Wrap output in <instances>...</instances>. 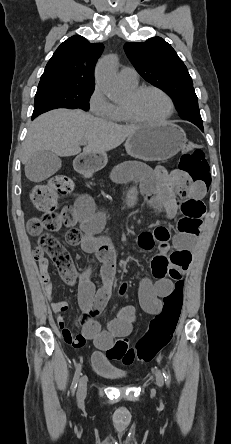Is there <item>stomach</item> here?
Listing matches in <instances>:
<instances>
[{"label": "stomach", "mask_w": 231, "mask_h": 444, "mask_svg": "<svg viewBox=\"0 0 231 444\" xmlns=\"http://www.w3.org/2000/svg\"><path fill=\"white\" fill-rule=\"evenodd\" d=\"M187 139L182 128L172 122L141 127L125 142L127 153L144 161H162L176 155ZM107 163L106 154H82L75 161V168L82 174H92Z\"/></svg>", "instance_id": "0dacf381"}]
</instances>
